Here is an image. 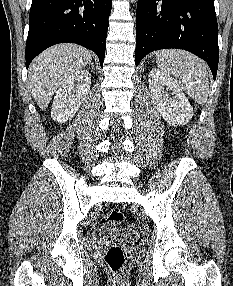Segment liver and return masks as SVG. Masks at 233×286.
<instances>
[{
  "instance_id": "6515ba94",
  "label": "liver",
  "mask_w": 233,
  "mask_h": 286,
  "mask_svg": "<svg viewBox=\"0 0 233 286\" xmlns=\"http://www.w3.org/2000/svg\"><path fill=\"white\" fill-rule=\"evenodd\" d=\"M92 53L75 44H60L42 52L30 65L31 93L41 110H45L58 87L72 74L84 69Z\"/></svg>"
}]
</instances>
